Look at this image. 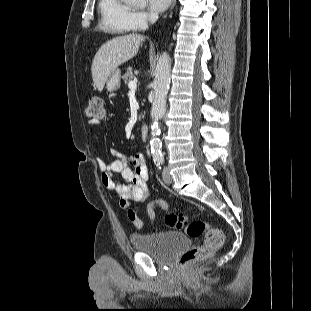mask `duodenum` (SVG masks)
<instances>
[{"instance_id":"obj_1","label":"duodenum","mask_w":311,"mask_h":311,"mask_svg":"<svg viewBox=\"0 0 311 311\" xmlns=\"http://www.w3.org/2000/svg\"><path fill=\"white\" fill-rule=\"evenodd\" d=\"M140 136L142 141H147L149 137V129L146 125L141 126Z\"/></svg>"}]
</instances>
